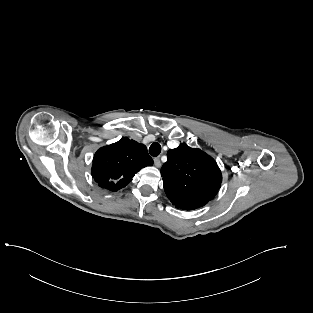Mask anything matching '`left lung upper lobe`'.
<instances>
[{
	"label": "left lung upper lobe",
	"mask_w": 313,
	"mask_h": 313,
	"mask_svg": "<svg viewBox=\"0 0 313 313\" xmlns=\"http://www.w3.org/2000/svg\"><path fill=\"white\" fill-rule=\"evenodd\" d=\"M167 157L161 175L165 193L175 207L197 209L218 193L222 182L221 171L208 154L182 143L169 150Z\"/></svg>",
	"instance_id": "obj_1"
}]
</instances>
